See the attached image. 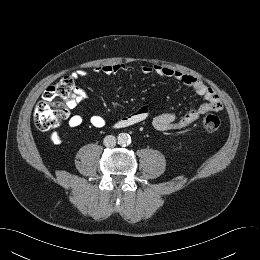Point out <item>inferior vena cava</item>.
Returning a JSON list of instances; mask_svg holds the SVG:
<instances>
[{
    "instance_id": "1",
    "label": "inferior vena cava",
    "mask_w": 260,
    "mask_h": 260,
    "mask_svg": "<svg viewBox=\"0 0 260 260\" xmlns=\"http://www.w3.org/2000/svg\"><path fill=\"white\" fill-rule=\"evenodd\" d=\"M103 143L106 147H114L116 145V138L113 135H107Z\"/></svg>"
}]
</instances>
